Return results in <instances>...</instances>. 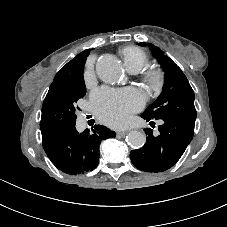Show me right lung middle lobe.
Listing matches in <instances>:
<instances>
[{
	"label": "right lung middle lobe",
	"instance_id": "right-lung-middle-lobe-1",
	"mask_svg": "<svg viewBox=\"0 0 227 227\" xmlns=\"http://www.w3.org/2000/svg\"><path fill=\"white\" fill-rule=\"evenodd\" d=\"M86 94L83 73L76 78L54 80L44 99L40 129L42 136L60 127L76 124L77 101Z\"/></svg>",
	"mask_w": 227,
	"mask_h": 227
}]
</instances>
